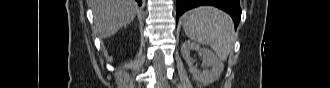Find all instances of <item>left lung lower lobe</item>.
<instances>
[{"label":"left lung lower lobe","mask_w":330,"mask_h":88,"mask_svg":"<svg viewBox=\"0 0 330 88\" xmlns=\"http://www.w3.org/2000/svg\"><path fill=\"white\" fill-rule=\"evenodd\" d=\"M201 5H212L224 10L230 14L234 21L235 29L237 28L241 19L239 0H177L176 21L185 11Z\"/></svg>","instance_id":"left-lung-lower-lobe-1"}]
</instances>
